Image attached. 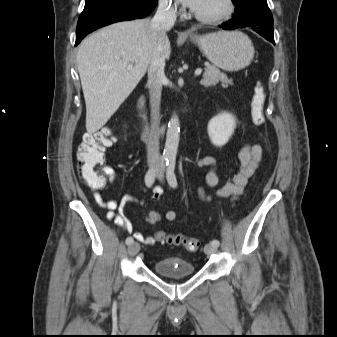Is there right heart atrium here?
Returning a JSON list of instances; mask_svg holds the SVG:
<instances>
[{"instance_id": "right-heart-atrium-1", "label": "right heart atrium", "mask_w": 337, "mask_h": 337, "mask_svg": "<svg viewBox=\"0 0 337 337\" xmlns=\"http://www.w3.org/2000/svg\"><path fill=\"white\" fill-rule=\"evenodd\" d=\"M159 4L162 9L170 14H176L179 11V7L175 0H159Z\"/></svg>"}]
</instances>
